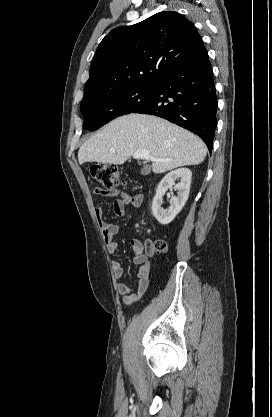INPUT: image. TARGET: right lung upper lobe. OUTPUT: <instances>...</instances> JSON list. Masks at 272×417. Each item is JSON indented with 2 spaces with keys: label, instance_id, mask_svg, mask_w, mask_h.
<instances>
[{
  "label": "right lung upper lobe",
  "instance_id": "cb5924a9",
  "mask_svg": "<svg viewBox=\"0 0 272 417\" xmlns=\"http://www.w3.org/2000/svg\"><path fill=\"white\" fill-rule=\"evenodd\" d=\"M203 48L193 23L174 11L160 12L135 25L115 28L97 48L84 97L154 84Z\"/></svg>",
  "mask_w": 272,
  "mask_h": 417
}]
</instances>
